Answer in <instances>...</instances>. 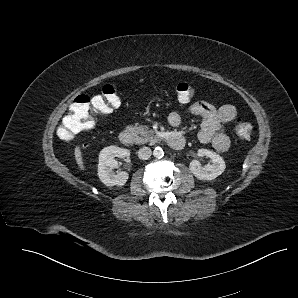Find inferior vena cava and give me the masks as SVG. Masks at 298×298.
Returning a JSON list of instances; mask_svg holds the SVG:
<instances>
[{
  "label": "inferior vena cava",
  "mask_w": 298,
  "mask_h": 298,
  "mask_svg": "<svg viewBox=\"0 0 298 298\" xmlns=\"http://www.w3.org/2000/svg\"><path fill=\"white\" fill-rule=\"evenodd\" d=\"M152 151L149 147H142L138 151V157L142 160H147L151 157Z\"/></svg>",
  "instance_id": "obj_1"
}]
</instances>
